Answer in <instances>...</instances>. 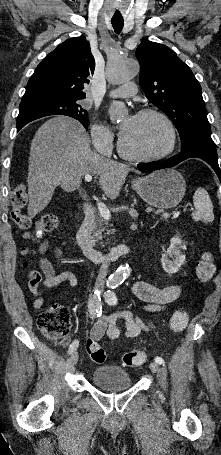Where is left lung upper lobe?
<instances>
[{"instance_id": "5c2ea615", "label": "left lung upper lobe", "mask_w": 221, "mask_h": 455, "mask_svg": "<svg viewBox=\"0 0 221 455\" xmlns=\"http://www.w3.org/2000/svg\"><path fill=\"white\" fill-rule=\"evenodd\" d=\"M139 84L147 99L175 124L181 149L193 141L212 142L201 87L190 68L165 45L144 41L135 53Z\"/></svg>"}]
</instances>
